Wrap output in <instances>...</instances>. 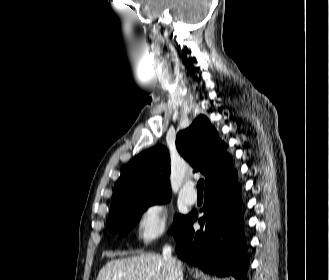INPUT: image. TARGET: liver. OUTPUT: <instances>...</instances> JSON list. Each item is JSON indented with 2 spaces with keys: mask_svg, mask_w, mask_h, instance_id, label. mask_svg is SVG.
Segmentation results:
<instances>
[{
  "mask_svg": "<svg viewBox=\"0 0 329 280\" xmlns=\"http://www.w3.org/2000/svg\"><path fill=\"white\" fill-rule=\"evenodd\" d=\"M97 280H171V275L161 255L148 253L109 261Z\"/></svg>",
  "mask_w": 329,
  "mask_h": 280,
  "instance_id": "liver-1",
  "label": "liver"
}]
</instances>
